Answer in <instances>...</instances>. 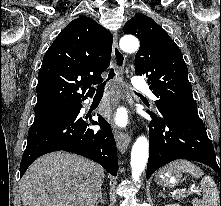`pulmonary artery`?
I'll return each mask as SVG.
<instances>
[{
  "label": "pulmonary artery",
  "mask_w": 221,
  "mask_h": 206,
  "mask_svg": "<svg viewBox=\"0 0 221 206\" xmlns=\"http://www.w3.org/2000/svg\"><path fill=\"white\" fill-rule=\"evenodd\" d=\"M132 86L136 90L147 93L152 100H156V96L150 91L147 81L141 76H134L131 80Z\"/></svg>",
  "instance_id": "pulmonary-artery-1"
}]
</instances>
